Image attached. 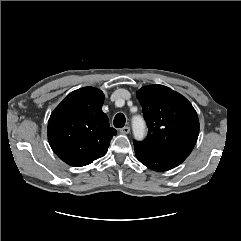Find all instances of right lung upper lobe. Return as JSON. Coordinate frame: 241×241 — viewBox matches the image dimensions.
<instances>
[{"label": "right lung upper lobe", "mask_w": 241, "mask_h": 241, "mask_svg": "<svg viewBox=\"0 0 241 241\" xmlns=\"http://www.w3.org/2000/svg\"><path fill=\"white\" fill-rule=\"evenodd\" d=\"M104 94L84 87L71 92L52 112L48 140L52 150L71 166H85L104 156L116 130L102 111Z\"/></svg>", "instance_id": "1"}]
</instances>
